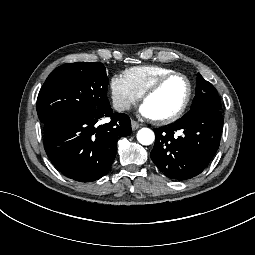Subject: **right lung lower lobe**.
<instances>
[{
	"label": "right lung lower lobe",
	"mask_w": 255,
	"mask_h": 255,
	"mask_svg": "<svg viewBox=\"0 0 255 255\" xmlns=\"http://www.w3.org/2000/svg\"><path fill=\"white\" fill-rule=\"evenodd\" d=\"M104 117V116H103ZM111 121L96 124L100 118L73 115L44 124V148L52 164L66 177L92 182L111 167L117 141L131 134V121L123 113H108Z\"/></svg>",
	"instance_id": "obj_1"
}]
</instances>
